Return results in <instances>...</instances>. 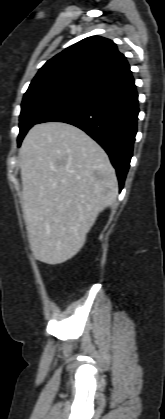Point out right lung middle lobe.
I'll return each mask as SVG.
<instances>
[{
	"label": "right lung middle lobe",
	"mask_w": 165,
	"mask_h": 419,
	"mask_svg": "<svg viewBox=\"0 0 165 419\" xmlns=\"http://www.w3.org/2000/svg\"><path fill=\"white\" fill-rule=\"evenodd\" d=\"M85 93L71 88L52 86L26 92L21 104L19 117L18 146L27 131L37 124L40 118L54 109L72 101Z\"/></svg>",
	"instance_id": "obj_1"
}]
</instances>
